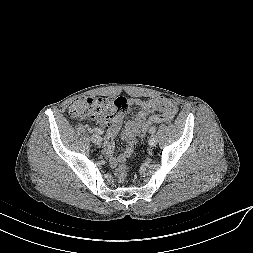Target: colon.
<instances>
[{
    "mask_svg": "<svg viewBox=\"0 0 253 253\" xmlns=\"http://www.w3.org/2000/svg\"><path fill=\"white\" fill-rule=\"evenodd\" d=\"M128 109L127 100L123 97L116 99L106 97L84 96L77 98L69 107L71 115L78 118H99L103 125L108 128ZM174 116H161L152 118L142 129L141 137L144 139L148 128L161 121L169 122ZM128 168L125 165L119 166L115 171L118 182L124 183L127 178Z\"/></svg>",
    "mask_w": 253,
    "mask_h": 253,
    "instance_id": "1",
    "label": "colon"
}]
</instances>
